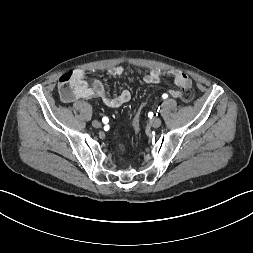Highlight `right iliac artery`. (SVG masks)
<instances>
[{"label":"right iliac artery","mask_w":253,"mask_h":253,"mask_svg":"<svg viewBox=\"0 0 253 253\" xmlns=\"http://www.w3.org/2000/svg\"><path fill=\"white\" fill-rule=\"evenodd\" d=\"M108 121L107 117L103 118V122L106 123Z\"/></svg>","instance_id":"82829eb1"}]
</instances>
